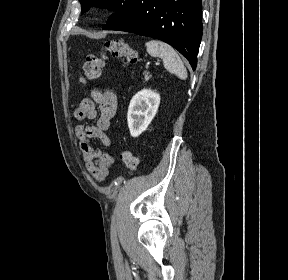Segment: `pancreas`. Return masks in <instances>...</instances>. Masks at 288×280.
Instances as JSON below:
<instances>
[{
    "label": "pancreas",
    "instance_id": "cf45deb5",
    "mask_svg": "<svg viewBox=\"0 0 288 280\" xmlns=\"http://www.w3.org/2000/svg\"><path fill=\"white\" fill-rule=\"evenodd\" d=\"M143 74H144L145 81H148L151 75H149L147 72H144Z\"/></svg>",
    "mask_w": 288,
    "mask_h": 280
}]
</instances>
